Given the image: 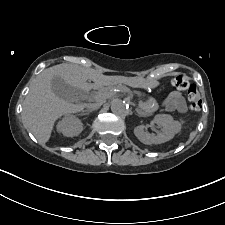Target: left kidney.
I'll list each match as a JSON object with an SVG mask.
<instances>
[{"instance_id": "5707ae66", "label": "left kidney", "mask_w": 225, "mask_h": 225, "mask_svg": "<svg viewBox=\"0 0 225 225\" xmlns=\"http://www.w3.org/2000/svg\"><path fill=\"white\" fill-rule=\"evenodd\" d=\"M152 122L161 128V131L157 135L147 132L144 125H139L134 128L135 136L143 144L151 145L167 142L181 130V124L168 114L156 115Z\"/></svg>"}]
</instances>
